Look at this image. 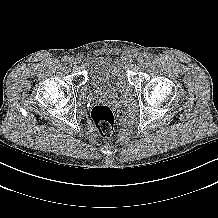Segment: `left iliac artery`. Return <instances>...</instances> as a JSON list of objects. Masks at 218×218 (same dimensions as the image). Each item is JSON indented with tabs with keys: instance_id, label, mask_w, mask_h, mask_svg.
<instances>
[{
	"instance_id": "left-iliac-artery-1",
	"label": "left iliac artery",
	"mask_w": 218,
	"mask_h": 218,
	"mask_svg": "<svg viewBox=\"0 0 218 218\" xmlns=\"http://www.w3.org/2000/svg\"><path fill=\"white\" fill-rule=\"evenodd\" d=\"M144 57L146 60H150L152 58V55L150 53H144Z\"/></svg>"
}]
</instances>
